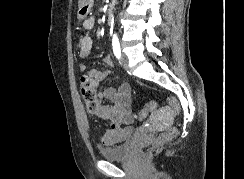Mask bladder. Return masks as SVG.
Wrapping results in <instances>:
<instances>
[{
    "label": "bladder",
    "instance_id": "obj_1",
    "mask_svg": "<svg viewBox=\"0 0 244 179\" xmlns=\"http://www.w3.org/2000/svg\"><path fill=\"white\" fill-rule=\"evenodd\" d=\"M133 139L125 142L122 145H113L111 147L101 148L99 151L100 157L107 160H121L127 158L132 152Z\"/></svg>",
    "mask_w": 244,
    "mask_h": 179
}]
</instances>
